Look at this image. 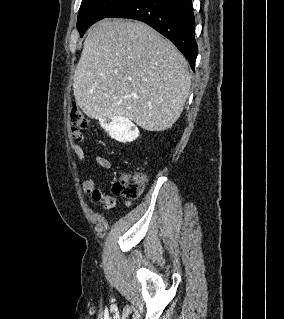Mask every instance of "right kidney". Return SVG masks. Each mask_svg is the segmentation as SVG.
Masks as SVG:
<instances>
[{
    "instance_id": "ca27d5eb",
    "label": "right kidney",
    "mask_w": 284,
    "mask_h": 319,
    "mask_svg": "<svg viewBox=\"0 0 284 319\" xmlns=\"http://www.w3.org/2000/svg\"><path fill=\"white\" fill-rule=\"evenodd\" d=\"M102 126L113 139L119 142H132L139 136V130L124 117L112 118L108 123H102Z\"/></svg>"
}]
</instances>
